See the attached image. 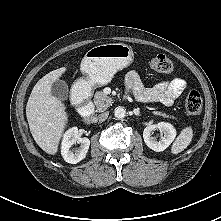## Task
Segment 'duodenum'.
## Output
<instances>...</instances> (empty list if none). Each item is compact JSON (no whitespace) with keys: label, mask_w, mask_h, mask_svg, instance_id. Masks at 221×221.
Returning <instances> with one entry per match:
<instances>
[{"label":"duodenum","mask_w":221,"mask_h":221,"mask_svg":"<svg viewBox=\"0 0 221 221\" xmlns=\"http://www.w3.org/2000/svg\"><path fill=\"white\" fill-rule=\"evenodd\" d=\"M72 99L75 104L78 106L80 116L83 121L88 122L91 120L94 108L91 102L85 101L77 93L72 95Z\"/></svg>","instance_id":"obj_1"}]
</instances>
